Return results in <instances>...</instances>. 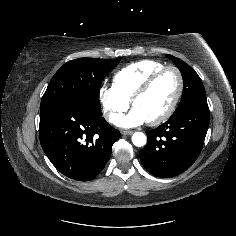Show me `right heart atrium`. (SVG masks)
<instances>
[{
    "label": "right heart atrium",
    "mask_w": 236,
    "mask_h": 236,
    "mask_svg": "<svg viewBox=\"0 0 236 236\" xmlns=\"http://www.w3.org/2000/svg\"><path fill=\"white\" fill-rule=\"evenodd\" d=\"M98 98L103 114L111 122H114L130 105V100L123 96L113 85L102 86L99 89Z\"/></svg>",
    "instance_id": "d8ad5b80"
}]
</instances>
